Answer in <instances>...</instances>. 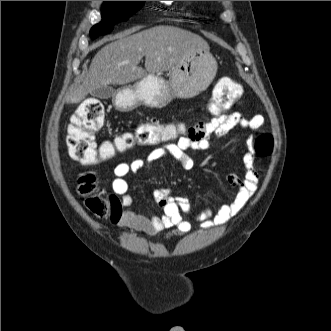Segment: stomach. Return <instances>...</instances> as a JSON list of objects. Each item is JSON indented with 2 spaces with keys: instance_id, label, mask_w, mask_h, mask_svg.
Wrapping results in <instances>:
<instances>
[{
  "instance_id": "stomach-1",
  "label": "stomach",
  "mask_w": 331,
  "mask_h": 331,
  "mask_svg": "<svg viewBox=\"0 0 331 331\" xmlns=\"http://www.w3.org/2000/svg\"><path fill=\"white\" fill-rule=\"evenodd\" d=\"M217 72V62L209 47L186 56L170 73L169 80L148 74L133 86L121 89L115 97V107L130 111L143 104L162 108L173 98H192L204 91Z\"/></svg>"
}]
</instances>
